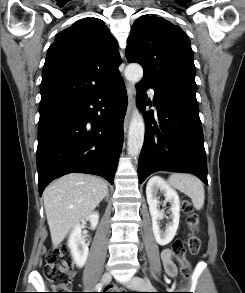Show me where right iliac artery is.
<instances>
[{
  "label": "right iliac artery",
  "instance_id": "1",
  "mask_svg": "<svg viewBox=\"0 0 245 293\" xmlns=\"http://www.w3.org/2000/svg\"><path fill=\"white\" fill-rule=\"evenodd\" d=\"M96 291L100 292V290L102 289V284L98 283L95 287Z\"/></svg>",
  "mask_w": 245,
  "mask_h": 293
}]
</instances>
